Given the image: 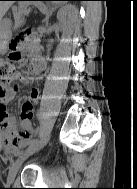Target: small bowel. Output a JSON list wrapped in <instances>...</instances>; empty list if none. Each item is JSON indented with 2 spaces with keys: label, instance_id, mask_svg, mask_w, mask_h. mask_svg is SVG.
Instances as JSON below:
<instances>
[{
  "label": "small bowel",
  "instance_id": "1",
  "mask_svg": "<svg viewBox=\"0 0 137 189\" xmlns=\"http://www.w3.org/2000/svg\"><path fill=\"white\" fill-rule=\"evenodd\" d=\"M46 67L43 59L30 64L28 75L15 72L10 82H18L26 85L31 80L38 79ZM19 85L3 84L0 86V139L7 153L23 149L33 131V107L38 103L40 91L37 87L30 89L27 101H25L19 112L20 128H17L15 119L8 113L7 104L19 91ZM30 107V110H29ZM20 131L23 134H20Z\"/></svg>",
  "mask_w": 137,
  "mask_h": 189
}]
</instances>
